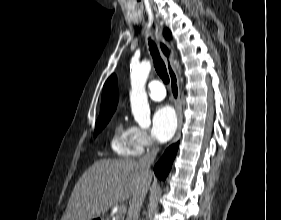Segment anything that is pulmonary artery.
Instances as JSON below:
<instances>
[{
  "instance_id": "pulmonary-artery-1",
  "label": "pulmonary artery",
  "mask_w": 281,
  "mask_h": 220,
  "mask_svg": "<svg viewBox=\"0 0 281 220\" xmlns=\"http://www.w3.org/2000/svg\"><path fill=\"white\" fill-rule=\"evenodd\" d=\"M149 97L154 101H161L165 97V88L159 81H151L148 84Z\"/></svg>"
}]
</instances>
